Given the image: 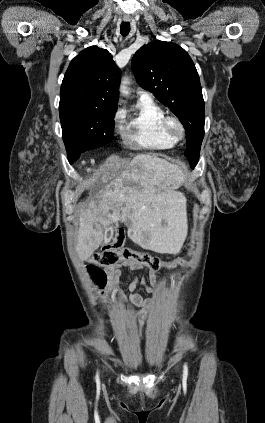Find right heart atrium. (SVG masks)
Listing matches in <instances>:
<instances>
[{"label": "right heart atrium", "instance_id": "1", "mask_svg": "<svg viewBox=\"0 0 265 423\" xmlns=\"http://www.w3.org/2000/svg\"><path fill=\"white\" fill-rule=\"evenodd\" d=\"M124 116H125V112H124L123 108L118 107L113 114L114 124H118L119 122H121L123 120Z\"/></svg>", "mask_w": 265, "mask_h": 423}]
</instances>
